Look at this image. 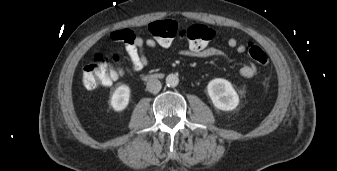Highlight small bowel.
<instances>
[{
  "instance_id": "1",
  "label": "small bowel",
  "mask_w": 337,
  "mask_h": 171,
  "mask_svg": "<svg viewBox=\"0 0 337 171\" xmlns=\"http://www.w3.org/2000/svg\"><path fill=\"white\" fill-rule=\"evenodd\" d=\"M112 38L125 43V51L130 59V69L132 72H139L150 63V59L145 53L146 47L152 50L161 47L158 41L152 38L143 39L128 30L116 31L112 34ZM227 45L234 48L238 54H242L246 50L245 46L239 45L234 37L228 38ZM182 54L201 59L227 58L226 53L216 47H207L200 52H193L190 49H187L182 51ZM256 74L257 68L253 63L244 65L240 70V75L243 78H253Z\"/></svg>"
}]
</instances>
